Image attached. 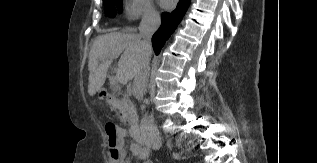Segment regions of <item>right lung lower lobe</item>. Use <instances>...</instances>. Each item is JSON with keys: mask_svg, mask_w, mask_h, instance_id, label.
<instances>
[{"mask_svg": "<svg viewBox=\"0 0 317 163\" xmlns=\"http://www.w3.org/2000/svg\"><path fill=\"white\" fill-rule=\"evenodd\" d=\"M190 5V0H180L176 9L171 13L164 12L161 16V26L152 37V44L155 53L158 55L165 41L177 28L182 17Z\"/></svg>", "mask_w": 317, "mask_h": 163, "instance_id": "obj_1", "label": "right lung lower lobe"}]
</instances>
